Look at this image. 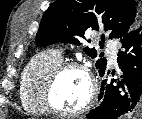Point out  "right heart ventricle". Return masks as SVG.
Wrapping results in <instances>:
<instances>
[{"mask_svg": "<svg viewBox=\"0 0 142 119\" xmlns=\"http://www.w3.org/2000/svg\"><path fill=\"white\" fill-rule=\"evenodd\" d=\"M62 63L58 51L47 50L35 55L25 67L20 82V101L25 111L35 115L48 112L42 98L50 73Z\"/></svg>", "mask_w": 142, "mask_h": 119, "instance_id": "1", "label": "right heart ventricle"}]
</instances>
